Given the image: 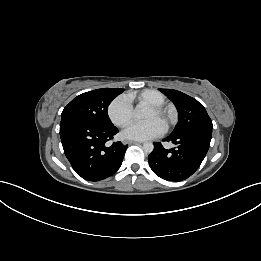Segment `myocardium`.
<instances>
[{"mask_svg": "<svg viewBox=\"0 0 261 261\" xmlns=\"http://www.w3.org/2000/svg\"><path fill=\"white\" fill-rule=\"evenodd\" d=\"M150 109L158 115L165 117V130H169L176 121V111L174 108L166 105H150Z\"/></svg>", "mask_w": 261, "mask_h": 261, "instance_id": "1", "label": "myocardium"}]
</instances>
